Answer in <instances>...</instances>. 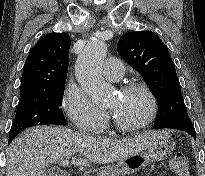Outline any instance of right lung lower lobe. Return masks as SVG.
<instances>
[{
  "label": "right lung lower lobe",
  "instance_id": "98d812e1",
  "mask_svg": "<svg viewBox=\"0 0 205 176\" xmlns=\"http://www.w3.org/2000/svg\"><path fill=\"white\" fill-rule=\"evenodd\" d=\"M14 138H9V143L13 140Z\"/></svg>",
  "mask_w": 205,
  "mask_h": 176
}]
</instances>
